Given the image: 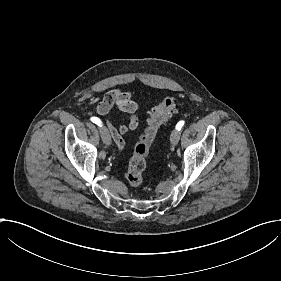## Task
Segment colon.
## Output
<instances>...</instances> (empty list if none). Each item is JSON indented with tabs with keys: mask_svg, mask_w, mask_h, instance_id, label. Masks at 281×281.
Wrapping results in <instances>:
<instances>
[{
	"mask_svg": "<svg viewBox=\"0 0 281 281\" xmlns=\"http://www.w3.org/2000/svg\"><path fill=\"white\" fill-rule=\"evenodd\" d=\"M175 107L176 101L174 97L165 96L149 114L124 174V180L130 187H138L142 183L146 160L150 154L151 147L159 134L162 124L168 119Z\"/></svg>",
	"mask_w": 281,
	"mask_h": 281,
	"instance_id": "1",
	"label": "colon"
}]
</instances>
